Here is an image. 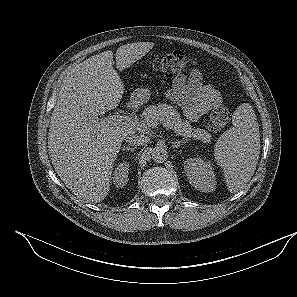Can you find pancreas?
Listing matches in <instances>:
<instances>
[{"label":"pancreas","mask_w":297,"mask_h":297,"mask_svg":"<svg viewBox=\"0 0 297 297\" xmlns=\"http://www.w3.org/2000/svg\"><path fill=\"white\" fill-rule=\"evenodd\" d=\"M144 124L147 127H156L158 123L167 125L178 136L195 138L204 143H209L211 135L200 128L193 127L189 121L182 120L177 110L167 104L150 105L143 111ZM148 124L150 126H148Z\"/></svg>","instance_id":"cf45deb5"}]
</instances>
